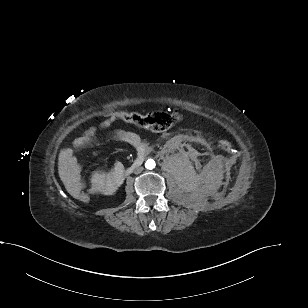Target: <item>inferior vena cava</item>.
<instances>
[{
    "label": "inferior vena cava",
    "instance_id": "inferior-vena-cava-1",
    "mask_svg": "<svg viewBox=\"0 0 308 308\" xmlns=\"http://www.w3.org/2000/svg\"><path fill=\"white\" fill-rule=\"evenodd\" d=\"M141 172H142V168L141 167L135 169V173L138 174V173H141Z\"/></svg>",
    "mask_w": 308,
    "mask_h": 308
}]
</instances>
